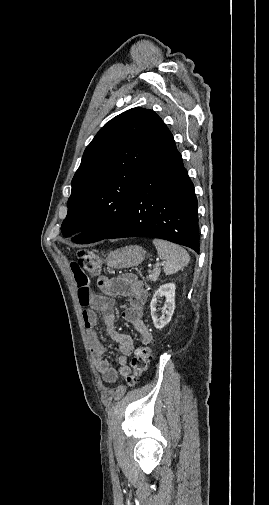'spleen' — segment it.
<instances>
[{
    "label": "spleen",
    "mask_w": 269,
    "mask_h": 505,
    "mask_svg": "<svg viewBox=\"0 0 269 505\" xmlns=\"http://www.w3.org/2000/svg\"><path fill=\"white\" fill-rule=\"evenodd\" d=\"M153 244L159 258L165 262L163 270L166 275L174 274L188 265L190 256L183 247L158 238L153 239Z\"/></svg>",
    "instance_id": "obj_1"
}]
</instances>
